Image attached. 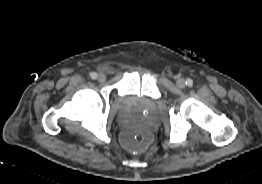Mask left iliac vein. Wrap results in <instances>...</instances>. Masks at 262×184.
Masks as SVG:
<instances>
[{
	"instance_id": "obj_1",
	"label": "left iliac vein",
	"mask_w": 262,
	"mask_h": 184,
	"mask_svg": "<svg viewBox=\"0 0 262 184\" xmlns=\"http://www.w3.org/2000/svg\"><path fill=\"white\" fill-rule=\"evenodd\" d=\"M177 86L180 88H184L186 85V81L183 78H179L176 82Z\"/></svg>"
}]
</instances>
